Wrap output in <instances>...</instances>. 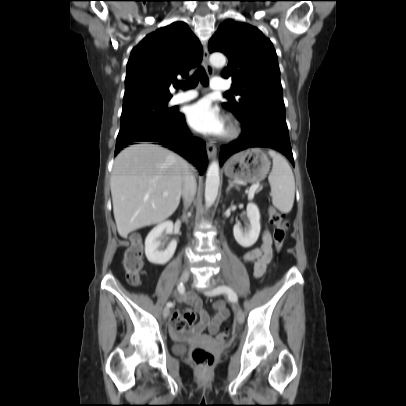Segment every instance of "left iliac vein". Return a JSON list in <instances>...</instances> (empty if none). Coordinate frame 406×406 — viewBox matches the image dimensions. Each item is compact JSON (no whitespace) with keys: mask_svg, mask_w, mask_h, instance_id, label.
Returning a JSON list of instances; mask_svg holds the SVG:
<instances>
[{"mask_svg":"<svg viewBox=\"0 0 406 406\" xmlns=\"http://www.w3.org/2000/svg\"><path fill=\"white\" fill-rule=\"evenodd\" d=\"M210 290H212V287L207 289V291H210ZM236 320H237V322L239 324H242L244 322V313H243V310L240 307L237 308Z\"/></svg>","mask_w":406,"mask_h":406,"instance_id":"left-iliac-vein-1","label":"left iliac vein"}]
</instances>
